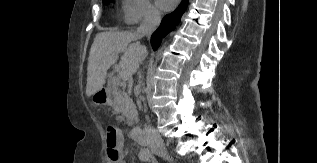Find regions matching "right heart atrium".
<instances>
[{
  "label": "right heart atrium",
  "mask_w": 317,
  "mask_h": 163,
  "mask_svg": "<svg viewBox=\"0 0 317 163\" xmlns=\"http://www.w3.org/2000/svg\"><path fill=\"white\" fill-rule=\"evenodd\" d=\"M122 15L128 25L155 20L160 12L151 0H122Z\"/></svg>",
  "instance_id": "1"
}]
</instances>
